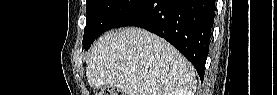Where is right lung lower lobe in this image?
<instances>
[{
    "label": "right lung lower lobe",
    "mask_w": 277,
    "mask_h": 95,
    "mask_svg": "<svg viewBox=\"0 0 277 95\" xmlns=\"http://www.w3.org/2000/svg\"><path fill=\"white\" fill-rule=\"evenodd\" d=\"M214 15L215 0H143L115 27H141L164 38L203 81Z\"/></svg>",
    "instance_id": "obj_1"
}]
</instances>
